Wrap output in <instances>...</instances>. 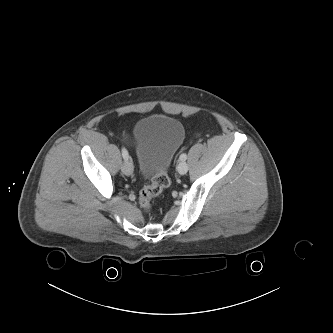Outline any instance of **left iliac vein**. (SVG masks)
<instances>
[{"instance_id": "obj_1", "label": "left iliac vein", "mask_w": 333, "mask_h": 333, "mask_svg": "<svg viewBox=\"0 0 333 333\" xmlns=\"http://www.w3.org/2000/svg\"><path fill=\"white\" fill-rule=\"evenodd\" d=\"M177 170L179 174L184 175L188 172V164L184 161L178 164Z\"/></svg>"}]
</instances>
